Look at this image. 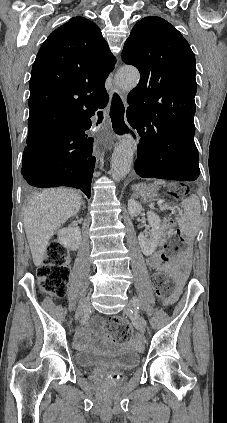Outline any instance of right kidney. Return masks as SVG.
Segmentation results:
<instances>
[{"mask_svg":"<svg viewBox=\"0 0 227 423\" xmlns=\"http://www.w3.org/2000/svg\"><path fill=\"white\" fill-rule=\"evenodd\" d=\"M58 241L63 247L76 251L81 241L80 227H62L57 231Z\"/></svg>","mask_w":227,"mask_h":423,"instance_id":"1","label":"right kidney"}]
</instances>
